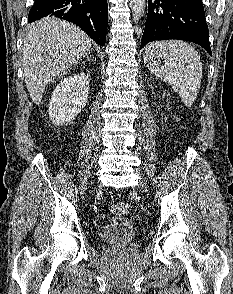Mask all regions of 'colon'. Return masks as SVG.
<instances>
[{
  "label": "colon",
  "instance_id": "5ec220e1",
  "mask_svg": "<svg viewBox=\"0 0 233 294\" xmlns=\"http://www.w3.org/2000/svg\"><path fill=\"white\" fill-rule=\"evenodd\" d=\"M130 209L131 206L127 202H116L111 206V212L115 215H126Z\"/></svg>",
  "mask_w": 233,
  "mask_h": 294
}]
</instances>
